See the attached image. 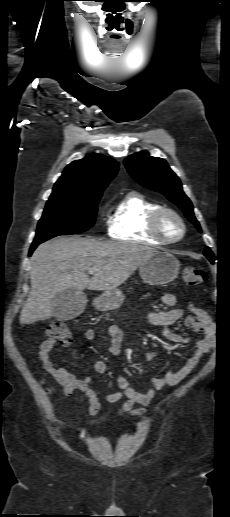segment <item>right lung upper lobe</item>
I'll use <instances>...</instances> for the list:
<instances>
[{
  "instance_id": "right-lung-upper-lobe-1",
  "label": "right lung upper lobe",
  "mask_w": 230,
  "mask_h": 517,
  "mask_svg": "<svg viewBox=\"0 0 230 517\" xmlns=\"http://www.w3.org/2000/svg\"><path fill=\"white\" fill-rule=\"evenodd\" d=\"M118 163L100 154L70 163L54 185L50 198L90 197L102 194L115 177Z\"/></svg>"
}]
</instances>
